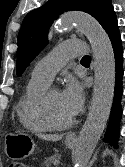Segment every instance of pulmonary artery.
<instances>
[{"instance_id":"obj_1","label":"pulmonary artery","mask_w":125,"mask_h":167,"mask_svg":"<svg viewBox=\"0 0 125 167\" xmlns=\"http://www.w3.org/2000/svg\"><path fill=\"white\" fill-rule=\"evenodd\" d=\"M86 52V43L83 40L65 41L38 61L32 70V77L50 84L54 75L70 59L85 56Z\"/></svg>"}]
</instances>
